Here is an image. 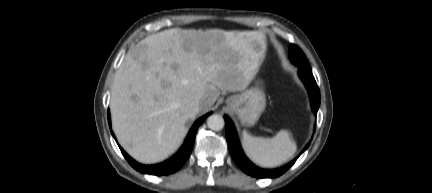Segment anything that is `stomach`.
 <instances>
[{
  "instance_id": "0dacf381",
  "label": "stomach",
  "mask_w": 432,
  "mask_h": 193,
  "mask_svg": "<svg viewBox=\"0 0 432 193\" xmlns=\"http://www.w3.org/2000/svg\"><path fill=\"white\" fill-rule=\"evenodd\" d=\"M262 82L238 95L226 99L227 106L237 115L244 126L254 125L266 107V97Z\"/></svg>"
}]
</instances>
